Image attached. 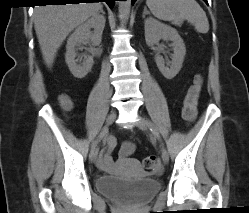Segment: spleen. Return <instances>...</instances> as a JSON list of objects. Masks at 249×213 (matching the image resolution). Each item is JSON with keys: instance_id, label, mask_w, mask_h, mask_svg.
Segmentation results:
<instances>
[{"instance_id": "spleen-1", "label": "spleen", "mask_w": 249, "mask_h": 213, "mask_svg": "<svg viewBox=\"0 0 249 213\" xmlns=\"http://www.w3.org/2000/svg\"><path fill=\"white\" fill-rule=\"evenodd\" d=\"M151 13L164 21L187 20L200 33L209 31L204 10L195 0H146Z\"/></svg>"}]
</instances>
